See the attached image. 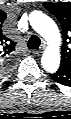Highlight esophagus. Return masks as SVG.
<instances>
[{
    "label": "esophagus",
    "mask_w": 71,
    "mask_h": 119,
    "mask_svg": "<svg viewBox=\"0 0 71 119\" xmlns=\"http://www.w3.org/2000/svg\"><path fill=\"white\" fill-rule=\"evenodd\" d=\"M45 47V43H44V45H43V48ZM32 53L34 54V55H40L41 53H42V50H33L32 51Z\"/></svg>",
    "instance_id": "34e87169"
}]
</instances>
